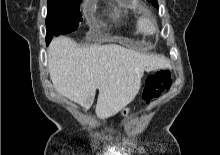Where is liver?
I'll return each mask as SVG.
<instances>
[{
  "mask_svg": "<svg viewBox=\"0 0 220 155\" xmlns=\"http://www.w3.org/2000/svg\"><path fill=\"white\" fill-rule=\"evenodd\" d=\"M48 68L57 92L88 110L99 95L96 115L114 116L138 94L144 72L170 68L163 57L147 55L118 44L81 48L68 37L49 45Z\"/></svg>",
  "mask_w": 220,
  "mask_h": 155,
  "instance_id": "1",
  "label": "liver"
}]
</instances>
